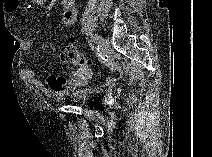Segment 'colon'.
I'll return each mask as SVG.
<instances>
[{"instance_id": "1", "label": "colon", "mask_w": 212, "mask_h": 157, "mask_svg": "<svg viewBox=\"0 0 212 157\" xmlns=\"http://www.w3.org/2000/svg\"><path fill=\"white\" fill-rule=\"evenodd\" d=\"M61 59L64 63L77 67L75 79L80 81L87 79L89 60L73 43H68L63 47Z\"/></svg>"}]
</instances>
